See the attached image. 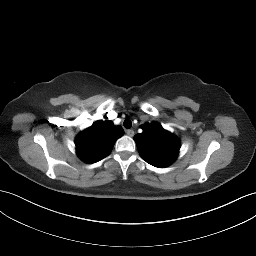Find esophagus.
<instances>
[{
  "mask_svg": "<svg viewBox=\"0 0 256 256\" xmlns=\"http://www.w3.org/2000/svg\"><path fill=\"white\" fill-rule=\"evenodd\" d=\"M126 134H127L128 136H130V137H133V136H134V131L131 130V129H129V130L126 131Z\"/></svg>",
  "mask_w": 256,
  "mask_h": 256,
  "instance_id": "obj_1",
  "label": "esophagus"
}]
</instances>
